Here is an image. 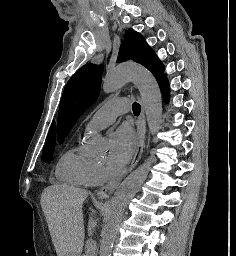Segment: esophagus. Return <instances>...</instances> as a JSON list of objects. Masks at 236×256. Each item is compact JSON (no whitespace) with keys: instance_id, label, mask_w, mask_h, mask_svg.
Returning a JSON list of instances; mask_svg holds the SVG:
<instances>
[{"instance_id":"1","label":"esophagus","mask_w":236,"mask_h":256,"mask_svg":"<svg viewBox=\"0 0 236 256\" xmlns=\"http://www.w3.org/2000/svg\"><path fill=\"white\" fill-rule=\"evenodd\" d=\"M141 102V99H140ZM141 113L138 116V119L136 121V151L134 154V157L132 159V162L130 164V167L128 171L124 174H121V176L117 177L115 180L111 181L108 184H105V186H102L97 192V196L100 199H107L109 196H111L114 191L118 188L121 181L125 178V176L139 163L141 159V155L143 153V148L145 146V133H146V123H145V111L143 104L141 102Z\"/></svg>"}]
</instances>
